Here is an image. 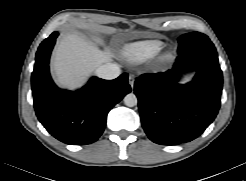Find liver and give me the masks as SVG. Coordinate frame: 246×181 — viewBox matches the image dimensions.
Segmentation results:
<instances>
[{
	"instance_id": "liver-1",
	"label": "liver",
	"mask_w": 246,
	"mask_h": 181,
	"mask_svg": "<svg viewBox=\"0 0 246 181\" xmlns=\"http://www.w3.org/2000/svg\"><path fill=\"white\" fill-rule=\"evenodd\" d=\"M112 53L99 50L76 33L64 35L58 42L52 61L56 82L63 88L81 87L89 74L111 61Z\"/></svg>"
}]
</instances>
